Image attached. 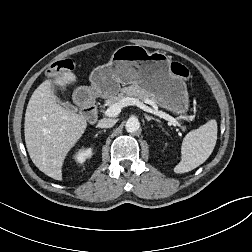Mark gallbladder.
I'll return each mask as SVG.
<instances>
[{"mask_svg":"<svg viewBox=\"0 0 252 252\" xmlns=\"http://www.w3.org/2000/svg\"><path fill=\"white\" fill-rule=\"evenodd\" d=\"M56 103L62 105L66 109H72V105L68 102L62 101L60 98L56 97L55 98Z\"/></svg>","mask_w":252,"mask_h":252,"instance_id":"obj_1","label":"gallbladder"}]
</instances>
